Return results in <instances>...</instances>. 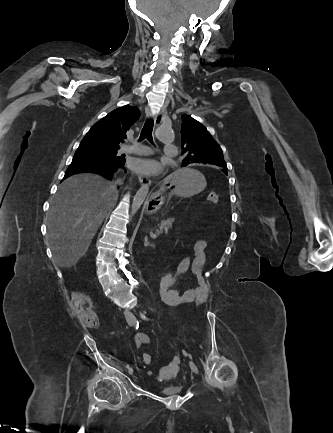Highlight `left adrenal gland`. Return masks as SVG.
<instances>
[{
  "label": "left adrenal gland",
  "instance_id": "left-adrenal-gland-1",
  "mask_svg": "<svg viewBox=\"0 0 333 433\" xmlns=\"http://www.w3.org/2000/svg\"><path fill=\"white\" fill-rule=\"evenodd\" d=\"M147 246L154 247V244L148 242V237L145 236V239H144V247H147Z\"/></svg>",
  "mask_w": 333,
  "mask_h": 433
}]
</instances>
